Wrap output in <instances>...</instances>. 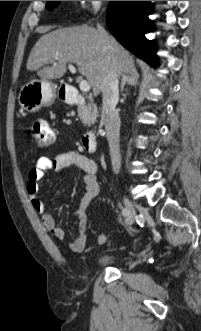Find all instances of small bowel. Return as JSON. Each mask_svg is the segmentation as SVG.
Returning <instances> with one entry per match:
<instances>
[{
    "instance_id": "obj_1",
    "label": "small bowel",
    "mask_w": 201,
    "mask_h": 331,
    "mask_svg": "<svg viewBox=\"0 0 201 331\" xmlns=\"http://www.w3.org/2000/svg\"><path fill=\"white\" fill-rule=\"evenodd\" d=\"M70 166H77L83 171V182L85 184V193L80 200L78 208L73 215L77 219V232L74 241L68 244L70 250L80 253L86 248V229H87V208L94 198L99 194L100 188L97 181L96 163L78 151H68L57 155L54 159L46 156L37 158L35 164L31 167L27 176L26 191L30 198L32 207L41 215L44 227L59 241L65 240V231L56 225L54 217L46 211L45 203L39 198V180L50 170L57 174H64ZM106 237L100 234L97 237L96 244L101 245Z\"/></svg>"
}]
</instances>
